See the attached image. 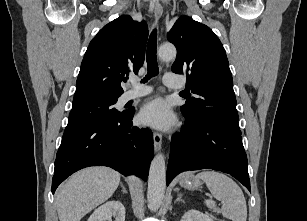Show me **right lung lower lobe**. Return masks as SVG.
<instances>
[{
    "label": "right lung lower lobe",
    "instance_id": "right-lung-lower-lobe-1",
    "mask_svg": "<svg viewBox=\"0 0 307 221\" xmlns=\"http://www.w3.org/2000/svg\"><path fill=\"white\" fill-rule=\"evenodd\" d=\"M134 111L64 132L56 155L52 193L74 172L89 166H109L123 175L147 179L153 158V135L133 126Z\"/></svg>",
    "mask_w": 307,
    "mask_h": 221
}]
</instances>
